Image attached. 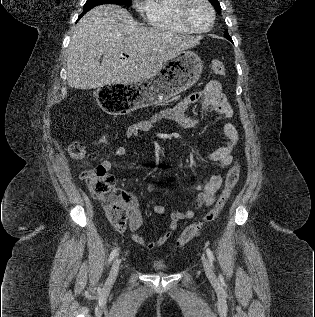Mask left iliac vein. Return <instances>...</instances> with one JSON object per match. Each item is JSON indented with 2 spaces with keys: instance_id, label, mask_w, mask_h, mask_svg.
I'll list each match as a JSON object with an SVG mask.
<instances>
[{
  "instance_id": "left-iliac-vein-1",
  "label": "left iliac vein",
  "mask_w": 315,
  "mask_h": 317,
  "mask_svg": "<svg viewBox=\"0 0 315 317\" xmlns=\"http://www.w3.org/2000/svg\"><path fill=\"white\" fill-rule=\"evenodd\" d=\"M202 264H203V267H204V271H205V274L206 276L209 278V279H215V274L210 266V263L208 261V259L204 256L202 257Z\"/></svg>"
}]
</instances>
